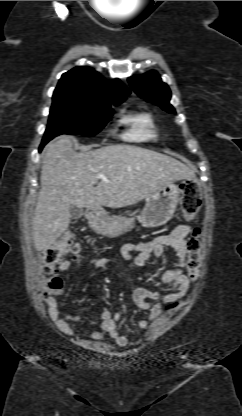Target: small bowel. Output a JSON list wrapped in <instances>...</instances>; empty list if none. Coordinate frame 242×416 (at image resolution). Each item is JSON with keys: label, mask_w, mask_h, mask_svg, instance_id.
Wrapping results in <instances>:
<instances>
[{"label": "small bowel", "mask_w": 242, "mask_h": 416, "mask_svg": "<svg viewBox=\"0 0 242 416\" xmlns=\"http://www.w3.org/2000/svg\"><path fill=\"white\" fill-rule=\"evenodd\" d=\"M191 225L180 224L170 232L155 237L150 241L138 243H126L120 249L121 257L131 264L143 267L153 257L159 256L165 246H171L175 251V264L172 268L166 270L160 276L161 284H171V290L162 294L160 292L150 291L145 288H137L132 294L133 302L140 309L148 310L147 319H141L138 322L140 329L147 328L150 321L155 320L161 313L162 306L167 303L176 301L184 296L189 289V279L184 274L186 266V237L191 231ZM83 264L89 265L97 270H106L111 260L102 256H93L83 258ZM74 268L71 260H63L58 269L60 271H69ZM158 301L150 304L148 300ZM50 317L58 329L67 336L75 337L77 333L73 330L70 323H78L82 320L81 314L63 313L60 316L56 299H52L50 304ZM122 314L116 312L112 314L109 310L104 309L101 313L102 323L100 329L87 335L91 340H99L104 336H109L116 345L123 347L127 345V338L121 335L117 328V322L121 319Z\"/></svg>", "instance_id": "1"}]
</instances>
